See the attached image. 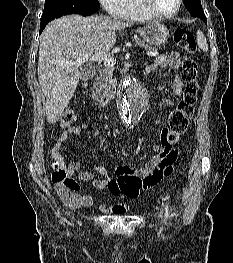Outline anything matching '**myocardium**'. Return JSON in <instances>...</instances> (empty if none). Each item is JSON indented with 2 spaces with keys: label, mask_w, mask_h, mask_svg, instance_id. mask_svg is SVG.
Returning a JSON list of instances; mask_svg holds the SVG:
<instances>
[{
  "label": "myocardium",
  "mask_w": 233,
  "mask_h": 263,
  "mask_svg": "<svg viewBox=\"0 0 233 263\" xmlns=\"http://www.w3.org/2000/svg\"><path fill=\"white\" fill-rule=\"evenodd\" d=\"M142 7L154 18H158V19H168V18H172L175 15H177V13L179 12L181 5H182V0H177V5L174 11H172L171 13L168 14H163L158 12L151 4L150 0H140Z\"/></svg>",
  "instance_id": "myocardium-1"
}]
</instances>
